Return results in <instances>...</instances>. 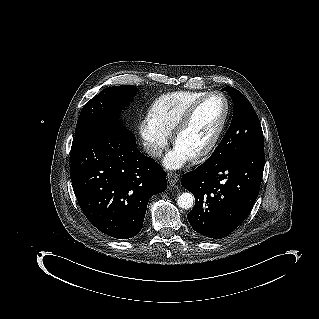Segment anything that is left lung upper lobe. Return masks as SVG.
<instances>
[{
    "instance_id": "5c2ea615",
    "label": "left lung upper lobe",
    "mask_w": 319,
    "mask_h": 319,
    "mask_svg": "<svg viewBox=\"0 0 319 319\" xmlns=\"http://www.w3.org/2000/svg\"><path fill=\"white\" fill-rule=\"evenodd\" d=\"M234 104L231 125L214 153L206 160L219 163L235 154L264 148V137L258 116L248 99L233 87H225Z\"/></svg>"
}]
</instances>
